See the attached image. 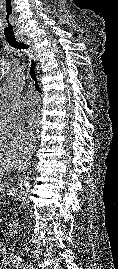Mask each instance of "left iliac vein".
I'll list each match as a JSON object with an SVG mask.
<instances>
[{"instance_id":"obj_1","label":"left iliac vein","mask_w":118,"mask_h":269,"mask_svg":"<svg viewBox=\"0 0 118 269\" xmlns=\"http://www.w3.org/2000/svg\"><path fill=\"white\" fill-rule=\"evenodd\" d=\"M25 269H34V268L31 266H26Z\"/></svg>"}]
</instances>
